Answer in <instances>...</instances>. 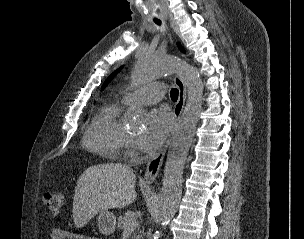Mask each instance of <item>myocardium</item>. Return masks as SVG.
<instances>
[{
  "instance_id": "obj_1",
  "label": "myocardium",
  "mask_w": 304,
  "mask_h": 239,
  "mask_svg": "<svg viewBox=\"0 0 304 239\" xmlns=\"http://www.w3.org/2000/svg\"><path fill=\"white\" fill-rule=\"evenodd\" d=\"M127 140L131 142L132 141V137H130V136L127 135Z\"/></svg>"
}]
</instances>
